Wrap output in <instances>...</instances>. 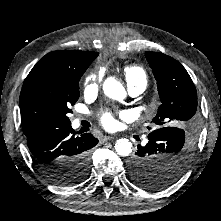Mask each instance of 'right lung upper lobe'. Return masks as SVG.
I'll use <instances>...</instances> for the list:
<instances>
[{
  "label": "right lung upper lobe",
  "instance_id": "1",
  "mask_svg": "<svg viewBox=\"0 0 221 221\" xmlns=\"http://www.w3.org/2000/svg\"><path fill=\"white\" fill-rule=\"evenodd\" d=\"M98 56L97 52L87 51H53L40 59L30 71L24 82L41 75L54 74L64 70L76 69L92 63ZM28 134L29 130L23 131Z\"/></svg>",
  "mask_w": 221,
  "mask_h": 221
}]
</instances>
